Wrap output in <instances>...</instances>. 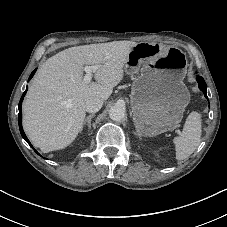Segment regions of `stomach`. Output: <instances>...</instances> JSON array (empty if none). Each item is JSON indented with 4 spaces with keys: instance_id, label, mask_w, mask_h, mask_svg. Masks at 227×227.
<instances>
[{
    "instance_id": "1",
    "label": "stomach",
    "mask_w": 227,
    "mask_h": 227,
    "mask_svg": "<svg viewBox=\"0 0 227 227\" xmlns=\"http://www.w3.org/2000/svg\"><path fill=\"white\" fill-rule=\"evenodd\" d=\"M125 72L136 76L130 98L138 132L151 137L176 128L190 101L183 82L185 54L175 47L137 43L128 55Z\"/></svg>"
}]
</instances>
